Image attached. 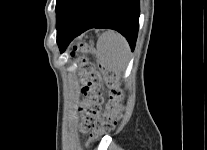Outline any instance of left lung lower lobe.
<instances>
[{"label":"left lung lower lobe","mask_w":207,"mask_h":150,"mask_svg":"<svg viewBox=\"0 0 207 150\" xmlns=\"http://www.w3.org/2000/svg\"><path fill=\"white\" fill-rule=\"evenodd\" d=\"M139 14V0H66L56 22L60 51L90 28L117 30L134 50Z\"/></svg>","instance_id":"left-lung-lower-lobe-1"}]
</instances>
